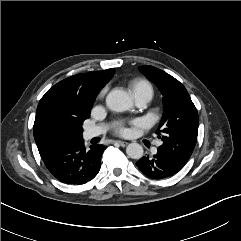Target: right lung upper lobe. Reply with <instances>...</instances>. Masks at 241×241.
I'll list each match as a JSON object with an SVG mask.
<instances>
[{"instance_id": "right-lung-upper-lobe-1", "label": "right lung upper lobe", "mask_w": 241, "mask_h": 241, "mask_svg": "<svg viewBox=\"0 0 241 241\" xmlns=\"http://www.w3.org/2000/svg\"><path fill=\"white\" fill-rule=\"evenodd\" d=\"M113 75L114 69L80 73L60 81L45 93L38 104L33 127L41 156L62 145L50 136L53 122L89 118L98 92Z\"/></svg>"}]
</instances>
